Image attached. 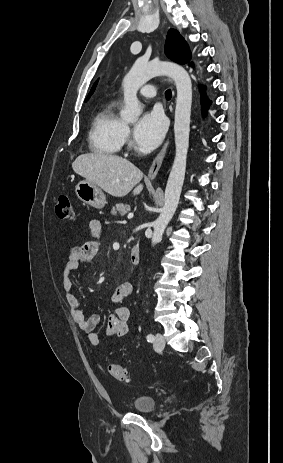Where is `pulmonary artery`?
<instances>
[{
  "mask_svg": "<svg viewBox=\"0 0 283 463\" xmlns=\"http://www.w3.org/2000/svg\"><path fill=\"white\" fill-rule=\"evenodd\" d=\"M139 92L141 96L146 98H153L157 95V89L154 85H146Z\"/></svg>",
  "mask_w": 283,
  "mask_h": 463,
  "instance_id": "obj_1",
  "label": "pulmonary artery"
}]
</instances>
